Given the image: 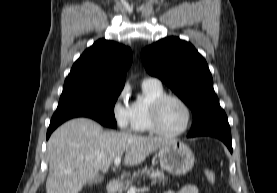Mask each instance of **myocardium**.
Listing matches in <instances>:
<instances>
[{
	"instance_id": "f54148a6",
	"label": "myocardium",
	"mask_w": 277,
	"mask_h": 193,
	"mask_svg": "<svg viewBox=\"0 0 277 193\" xmlns=\"http://www.w3.org/2000/svg\"><path fill=\"white\" fill-rule=\"evenodd\" d=\"M169 99H173L179 102L184 107L187 115V119L184 127L175 132H169L164 130L161 126V121H160L161 107L164 104V102ZM149 118H150V126H151L152 132L163 137L172 138V137H177L184 134L190 128L192 123V111L188 103L180 96L176 94L164 93L163 95L157 97L151 103L149 107Z\"/></svg>"
}]
</instances>
